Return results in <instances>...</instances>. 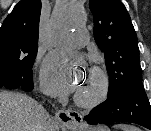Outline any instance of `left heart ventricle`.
<instances>
[{
	"instance_id": "obj_1",
	"label": "left heart ventricle",
	"mask_w": 151,
	"mask_h": 131,
	"mask_svg": "<svg viewBox=\"0 0 151 131\" xmlns=\"http://www.w3.org/2000/svg\"><path fill=\"white\" fill-rule=\"evenodd\" d=\"M96 87L97 80L89 73L81 83L77 93L82 95H89L96 89Z\"/></svg>"
}]
</instances>
